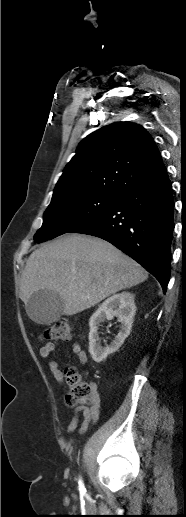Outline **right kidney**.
Wrapping results in <instances>:
<instances>
[{"label": "right kidney", "mask_w": 186, "mask_h": 517, "mask_svg": "<svg viewBox=\"0 0 186 517\" xmlns=\"http://www.w3.org/2000/svg\"><path fill=\"white\" fill-rule=\"evenodd\" d=\"M135 312L134 294L122 292L106 299L93 313L89 320V352L95 362L100 363L121 347L130 334ZM114 316L118 317L121 330L109 346L102 347L99 342L98 327L100 323L112 320Z\"/></svg>", "instance_id": "ca27d5eb"}]
</instances>
